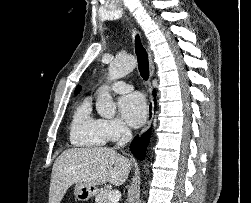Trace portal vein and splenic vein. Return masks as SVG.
<instances>
[{
	"label": "portal vein and splenic vein",
	"mask_w": 251,
	"mask_h": 203,
	"mask_svg": "<svg viewBox=\"0 0 251 203\" xmlns=\"http://www.w3.org/2000/svg\"><path fill=\"white\" fill-rule=\"evenodd\" d=\"M121 197V194L118 190H115V191H111L109 194H108V199L112 202V203H117L119 201Z\"/></svg>",
	"instance_id": "obj_1"
}]
</instances>
